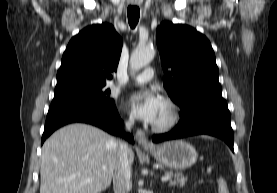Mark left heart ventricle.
Masks as SVG:
<instances>
[{
  "label": "left heart ventricle",
  "mask_w": 277,
  "mask_h": 193,
  "mask_svg": "<svg viewBox=\"0 0 277 193\" xmlns=\"http://www.w3.org/2000/svg\"><path fill=\"white\" fill-rule=\"evenodd\" d=\"M169 113H170L169 107L163 102L161 109L159 111V114L157 116V119L154 123L159 124L164 122L168 118Z\"/></svg>",
  "instance_id": "b2bd125f"
}]
</instances>
